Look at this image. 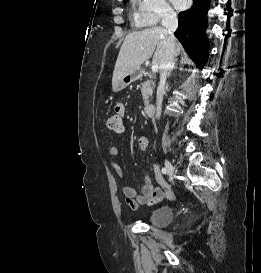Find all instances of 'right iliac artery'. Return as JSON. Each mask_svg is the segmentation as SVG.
I'll return each instance as SVG.
<instances>
[{"instance_id":"1","label":"right iliac artery","mask_w":261,"mask_h":273,"mask_svg":"<svg viewBox=\"0 0 261 273\" xmlns=\"http://www.w3.org/2000/svg\"><path fill=\"white\" fill-rule=\"evenodd\" d=\"M162 173L166 174V168H162Z\"/></svg>"}]
</instances>
